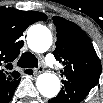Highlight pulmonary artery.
I'll use <instances>...</instances> for the list:
<instances>
[{
    "label": "pulmonary artery",
    "instance_id": "e3ab8cb5",
    "mask_svg": "<svg viewBox=\"0 0 103 103\" xmlns=\"http://www.w3.org/2000/svg\"><path fill=\"white\" fill-rule=\"evenodd\" d=\"M46 61L51 67H53L55 64L54 58L51 55L47 56Z\"/></svg>",
    "mask_w": 103,
    "mask_h": 103
}]
</instances>
